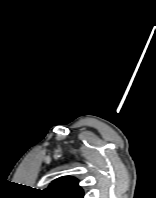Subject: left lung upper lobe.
Instances as JSON below:
<instances>
[{
	"label": "left lung upper lobe",
	"mask_w": 156,
	"mask_h": 198,
	"mask_svg": "<svg viewBox=\"0 0 156 198\" xmlns=\"http://www.w3.org/2000/svg\"><path fill=\"white\" fill-rule=\"evenodd\" d=\"M45 198H83L84 193L78 185V180L65 176L54 180L47 189L43 190Z\"/></svg>",
	"instance_id": "obj_1"
}]
</instances>
